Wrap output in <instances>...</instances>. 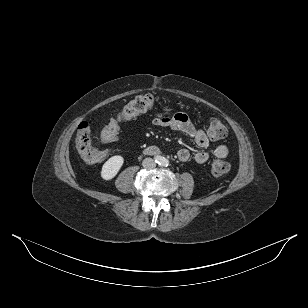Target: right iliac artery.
Masks as SVG:
<instances>
[{
    "mask_svg": "<svg viewBox=\"0 0 308 308\" xmlns=\"http://www.w3.org/2000/svg\"><path fill=\"white\" fill-rule=\"evenodd\" d=\"M155 159H156L155 161L157 162V160H159V157H156Z\"/></svg>",
    "mask_w": 308,
    "mask_h": 308,
    "instance_id": "right-iliac-artery-1",
    "label": "right iliac artery"
}]
</instances>
